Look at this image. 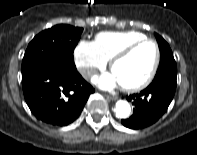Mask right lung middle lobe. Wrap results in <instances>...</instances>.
Masks as SVG:
<instances>
[{
  "mask_svg": "<svg viewBox=\"0 0 197 155\" xmlns=\"http://www.w3.org/2000/svg\"><path fill=\"white\" fill-rule=\"evenodd\" d=\"M83 28L56 25L36 35L29 43L22 61V78L40 67L56 63H74L73 51Z\"/></svg>",
  "mask_w": 197,
  "mask_h": 155,
  "instance_id": "1",
  "label": "right lung middle lobe"
}]
</instances>
